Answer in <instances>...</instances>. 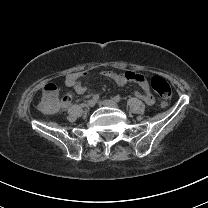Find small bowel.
Instances as JSON below:
<instances>
[{"mask_svg":"<svg viewBox=\"0 0 208 208\" xmlns=\"http://www.w3.org/2000/svg\"><path fill=\"white\" fill-rule=\"evenodd\" d=\"M88 76L87 72H75L71 73L66 76L65 78V83L68 87H70L74 92L78 94H82L86 91V87L81 83V80L83 78H86ZM103 76L114 80L118 82L119 84H124L126 82H135L137 83L140 88L142 89V93H136V96L138 98H141L147 105H152L154 104V96L152 95L150 89H149V84L147 80L138 73L134 72H126V73H121V72H116L113 70H105L103 72ZM46 87H54L53 84H48ZM72 98V93L70 91H65L63 100L61 101V108L62 109H67L69 102Z\"/></svg>","mask_w":208,"mask_h":208,"instance_id":"small-bowel-1","label":"small bowel"}]
</instances>
